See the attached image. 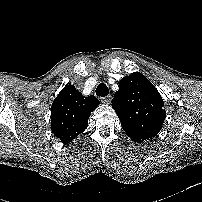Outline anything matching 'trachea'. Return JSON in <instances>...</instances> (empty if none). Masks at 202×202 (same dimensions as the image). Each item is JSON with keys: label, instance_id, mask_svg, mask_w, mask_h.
<instances>
[{"label": "trachea", "instance_id": "3493384b", "mask_svg": "<svg viewBox=\"0 0 202 202\" xmlns=\"http://www.w3.org/2000/svg\"><path fill=\"white\" fill-rule=\"evenodd\" d=\"M108 93H109V89L105 83L98 84V86L96 88L97 96L105 97L108 95Z\"/></svg>", "mask_w": 202, "mask_h": 202}]
</instances>
